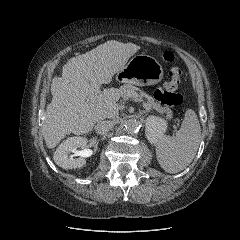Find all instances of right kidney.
I'll return each instance as SVG.
<instances>
[{
  "mask_svg": "<svg viewBox=\"0 0 240 240\" xmlns=\"http://www.w3.org/2000/svg\"><path fill=\"white\" fill-rule=\"evenodd\" d=\"M88 144V139L84 137H70L64 140L56 149L54 153L55 163L63 169H75L80 168L86 164L84 157L91 155L89 149H85ZM78 148H82L80 151V157L73 158L70 154L75 153Z\"/></svg>",
  "mask_w": 240,
  "mask_h": 240,
  "instance_id": "right-kidney-1",
  "label": "right kidney"
}]
</instances>
